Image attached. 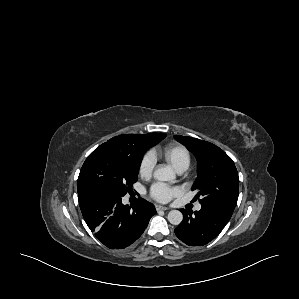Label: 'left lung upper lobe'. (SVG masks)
Returning a JSON list of instances; mask_svg holds the SVG:
<instances>
[{
  "label": "left lung upper lobe",
  "mask_w": 299,
  "mask_h": 299,
  "mask_svg": "<svg viewBox=\"0 0 299 299\" xmlns=\"http://www.w3.org/2000/svg\"><path fill=\"white\" fill-rule=\"evenodd\" d=\"M197 158L198 177L192 190L198 191L201 206L216 209L230 218L237 204L239 177L233 160L219 147L197 138L175 135Z\"/></svg>",
  "instance_id": "obj_1"
}]
</instances>
